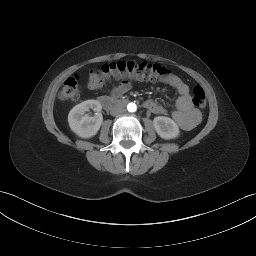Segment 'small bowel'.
Segmentation results:
<instances>
[{"label":"small bowel","instance_id":"1","mask_svg":"<svg viewBox=\"0 0 256 256\" xmlns=\"http://www.w3.org/2000/svg\"><path fill=\"white\" fill-rule=\"evenodd\" d=\"M164 82L173 87L179 95L176 101L177 109L172 113L173 120L183 130L189 131L195 128L201 120V113L192 103L189 86L180 77L174 74L164 78ZM131 88L132 83L128 80H123L110 91V95L120 97ZM144 106L146 109L156 114L165 112V109L153 100L145 101Z\"/></svg>","mask_w":256,"mask_h":256}]
</instances>
